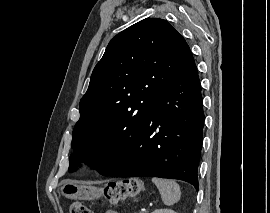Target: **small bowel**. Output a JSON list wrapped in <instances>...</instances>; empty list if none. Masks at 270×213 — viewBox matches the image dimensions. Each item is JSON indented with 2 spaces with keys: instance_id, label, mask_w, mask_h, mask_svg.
Wrapping results in <instances>:
<instances>
[{
  "instance_id": "c3829d8e",
  "label": "small bowel",
  "mask_w": 270,
  "mask_h": 213,
  "mask_svg": "<svg viewBox=\"0 0 270 213\" xmlns=\"http://www.w3.org/2000/svg\"><path fill=\"white\" fill-rule=\"evenodd\" d=\"M105 213H117V212L114 210H107Z\"/></svg>"
}]
</instances>
